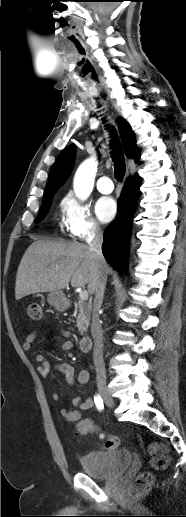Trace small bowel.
I'll return each instance as SVG.
<instances>
[{"label":"small bowel","instance_id":"1","mask_svg":"<svg viewBox=\"0 0 186 517\" xmlns=\"http://www.w3.org/2000/svg\"><path fill=\"white\" fill-rule=\"evenodd\" d=\"M62 335L67 337L69 336V332L62 331ZM37 336V332H32L28 334L23 342V349L25 351H29L32 347V343L35 341ZM73 348V343L71 341H64L60 345V349L62 351H70ZM35 361L37 363V371L42 376H47L50 371V364L46 357L42 354H38L35 356ZM54 370L63 374L65 380L68 385L74 386L75 384L84 385L87 384L90 379V373L87 369L80 370L77 374H75V370L72 365L65 362H59L54 365ZM52 398L54 401L60 400V394L58 392H54L52 394ZM93 400L90 397L82 399L81 397H75L71 400L70 408H63L61 410V415L68 421L72 423H76V435L85 436L89 433L97 432L98 429L95 424L90 420H83L82 415L84 412L90 410L93 407ZM73 407H78L77 409Z\"/></svg>","mask_w":186,"mask_h":517}]
</instances>
